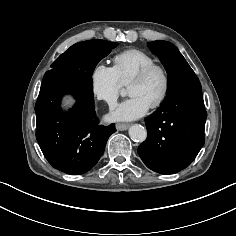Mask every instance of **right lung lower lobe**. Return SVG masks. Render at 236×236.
<instances>
[{"mask_svg": "<svg viewBox=\"0 0 236 236\" xmlns=\"http://www.w3.org/2000/svg\"><path fill=\"white\" fill-rule=\"evenodd\" d=\"M72 94L77 102L62 113L60 101ZM91 80L73 73H46L35 105L36 138L47 161L67 174L89 171L104 152L115 125H98Z\"/></svg>", "mask_w": 236, "mask_h": 236, "instance_id": "98d812e1", "label": "right lung lower lobe"}]
</instances>
